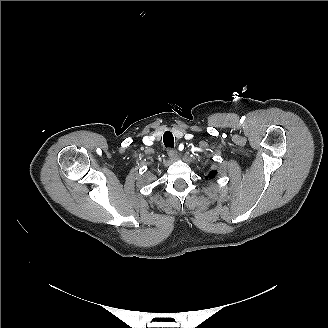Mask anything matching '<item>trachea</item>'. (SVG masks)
Wrapping results in <instances>:
<instances>
[{
    "label": "trachea",
    "mask_w": 328,
    "mask_h": 328,
    "mask_svg": "<svg viewBox=\"0 0 328 328\" xmlns=\"http://www.w3.org/2000/svg\"><path fill=\"white\" fill-rule=\"evenodd\" d=\"M163 142L165 147L174 148V137L170 132H165L163 136Z\"/></svg>",
    "instance_id": "1"
}]
</instances>
